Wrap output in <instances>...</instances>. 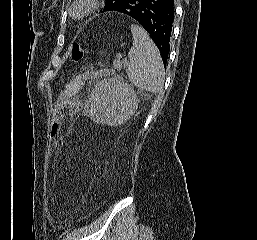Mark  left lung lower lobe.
<instances>
[{"mask_svg":"<svg viewBox=\"0 0 257 240\" xmlns=\"http://www.w3.org/2000/svg\"><path fill=\"white\" fill-rule=\"evenodd\" d=\"M135 19L151 36L166 67L174 19V0H124L109 10Z\"/></svg>","mask_w":257,"mask_h":240,"instance_id":"left-lung-lower-lobe-1","label":"left lung lower lobe"}]
</instances>
